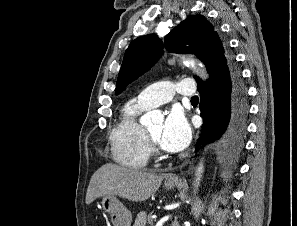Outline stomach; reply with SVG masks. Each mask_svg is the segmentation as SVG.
I'll return each instance as SVG.
<instances>
[{
	"instance_id": "1",
	"label": "stomach",
	"mask_w": 297,
	"mask_h": 226,
	"mask_svg": "<svg viewBox=\"0 0 297 226\" xmlns=\"http://www.w3.org/2000/svg\"><path fill=\"white\" fill-rule=\"evenodd\" d=\"M175 186L174 182L165 183L167 189H173ZM101 207L105 212L110 213L114 226H131V212L114 195L102 196Z\"/></svg>"
}]
</instances>
